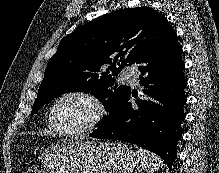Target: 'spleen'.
Returning <instances> with one entry per match:
<instances>
[{
	"instance_id": "3e777b00",
	"label": "spleen",
	"mask_w": 219,
	"mask_h": 173,
	"mask_svg": "<svg viewBox=\"0 0 219 173\" xmlns=\"http://www.w3.org/2000/svg\"><path fill=\"white\" fill-rule=\"evenodd\" d=\"M137 155L141 164V167L146 171V173H155L160 165L161 159L154 153L139 149L137 150Z\"/></svg>"
}]
</instances>
